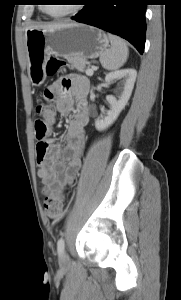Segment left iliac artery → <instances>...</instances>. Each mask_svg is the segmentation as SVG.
I'll return each instance as SVG.
<instances>
[{
    "label": "left iliac artery",
    "instance_id": "obj_1",
    "mask_svg": "<svg viewBox=\"0 0 181 300\" xmlns=\"http://www.w3.org/2000/svg\"><path fill=\"white\" fill-rule=\"evenodd\" d=\"M65 242L64 239L61 237L57 242V251L58 254H62L64 252Z\"/></svg>",
    "mask_w": 181,
    "mask_h": 300
}]
</instances>
